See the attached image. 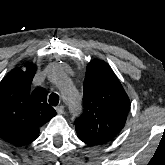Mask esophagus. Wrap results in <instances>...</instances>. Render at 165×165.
I'll return each mask as SVG.
<instances>
[{"label": "esophagus", "instance_id": "34e87169", "mask_svg": "<svg viewBox=\"0 0 165 165\" xmlns=\"http://www.w3.org/2000/svg\"><path fill=\"white\" fill-rule=\"evenodd\" d=\"M56 111H57L58 114H63V112H64V107H63V106H57V107H56Z\"/></svg>", "mask_w": 165, "mask_h": 165}]
</instances>
